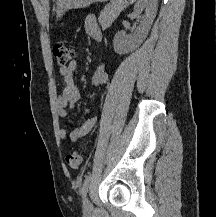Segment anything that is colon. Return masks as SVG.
Instances as JSON below:
<instances>
[{
	"label": "colon",
	"instance_id": "5ec220e1",
	"mask_svg": "<svg viewBox=\"0 0 216 217\" xmlns=\"http://www.w3.org/2000/svg\"><path fill=\"white\" fill-rule=\"evenodd\" d=\"M52 51L56 62L60 66L68 65L74 57V48L63 40L56 42ZM81 162L82 157L79 150H75L66 156V163L71 169H79Z\"/></svg>",
	"mask_w": 216,
	"mask_h": 217
}]
</instances>
